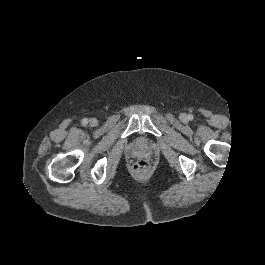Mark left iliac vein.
<instances>
[{"label": "left iliac vein", "instance_id": "obj_1", "mask_svg": "<svg viewBox=\"0 0 265 265\" xmlns=\"http://www.w3.org/2000/svg\"><path fill=\"white\" fill-rule=\"evenodd\" d=\"M184 119H186V115L184 114Z\"/></svg>", "mask_w": 265, "mask_h": 265}]
</instances>
